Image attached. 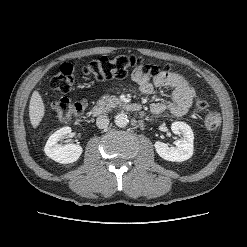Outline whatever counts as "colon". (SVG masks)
<instances>
[{
	"mask_svg": "<svg viewBox=\"0 0 247 247\" xmlns=\"http://www.w3.org/2000/svg\"><path fill=\"white\" fill-rule=\"evenodd\" d=\"M130 70L140 71L149 77L158 76L161 71L155 66L146 63L142 58L135 56H103L90 62L82 68L83 77L92 81L104 82L112 79H122L126 77ZM77 81V75L73 65L63 64L56 75L51 79L52 89L60 93H68ZM85 100L72 101L69 98L61 97L52 102V110L57 118L69 121L76 118L86 109ZM195 109L204 114V123L208 129H216L221 124V115L214 110H209L206 101L197 98Z\"/></svg>",
	"mask_w": 247,
	"mask_h": 247,
	"instance_id": "colon-1",
	"label": "colon"
}]
</instances>
